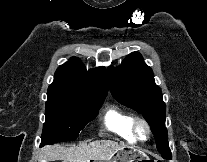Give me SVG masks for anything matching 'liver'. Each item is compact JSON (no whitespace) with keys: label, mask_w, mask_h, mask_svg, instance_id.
<instances>
[{"label":"liver","mask_w":207,"mask_h":162,"mask_svg":"<svg viewBox=\"0 0 207 162\" xmlns=\"http://www.w3.org/2000/svg\"><path fill=\"white\" fill-rule=\"evenodd\" d=\"M124 143L112 140L93 141L89 144L82 143L77 146L64 147L61 144L47 145L41 150V162H90L108 161L120 149L126 147Z\"/></svg>","instance_id":"1"}]
</instances>
